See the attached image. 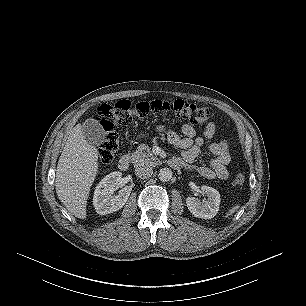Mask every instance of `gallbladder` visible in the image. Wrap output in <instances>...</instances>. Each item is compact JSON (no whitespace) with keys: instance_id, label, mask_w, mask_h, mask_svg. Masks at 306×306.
I'll list each match as a JSON object with an SVG mask.
<instances>
[{"instance_id":"1","label":"gallbladder","mask_w":306,"mask_h":306,"mask_svg":"<svg viewBox=\"0 0 306 306\" xmlns=\"http://www.w3.org/2000/svg\"><path fill=\"white\" fill-rule=\"evenodd\" d=\"M82 132L89 144L100 145L104 142L106 133L95 119H87L82 125Z\"/></svg>"}]
</instances>
